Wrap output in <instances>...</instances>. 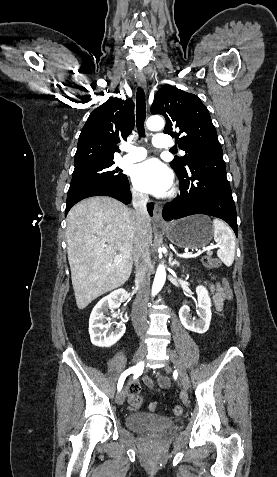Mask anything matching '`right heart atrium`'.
I'll return each instance as SVG.
<instances>
[{"label": "right heart atrium", "mask_w": 277, "mask_h": 477, "mask_svg": "<svg viewBox=\"0 0 277 477\" xmlns=\"http://www.w3.org/2000/svg\"><path fill=\"white\" fill-rule=\"evenodd\" d=\"M132 195L138 201H144L146 199L145 194L135 187H132Z\"/></svg>", "instance_id": "1"}]
</instances>
